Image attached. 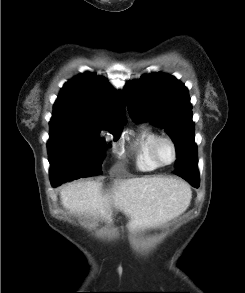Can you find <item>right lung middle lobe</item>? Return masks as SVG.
<instances>
[{
	"instance_id": "dd1d6c3e",
	"label": "right lung middle lobe",
	"mask_w": 245,
	"mask_h": 293,
	"mask_svg": "<svg viewBox=\"0 0 245 293\" xmlns=\"http://www.w3.org/2000/svg\"><path fill=\"white\" fill-rule=\"evenodd\" d=\"M47 143L51 183L102 174V156L106 145L99 140L102 128L68 122H50ZM124 125L106 129L118 133Z\"/></svg>"
}]
</instances>
